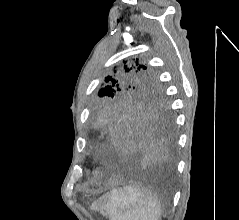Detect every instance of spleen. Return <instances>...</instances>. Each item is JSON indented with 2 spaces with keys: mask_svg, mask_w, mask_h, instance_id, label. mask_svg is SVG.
<instances>
[{
  "mask_svg": "<svg viewBox=\"0 0 239 220\" xmlns=\"http://www.w3.org/2000/svg\"><path fill=\"white\" fill-rule=\"evenodd\" d=\"M95 209L110 220H161L157 196L134 186L112 189L99 199Z\"/></svg>",
  "mask_w": 239,
  "mask_h": 220,
  "instance_id": "1",
  "label": "spleen"
}]
</instances>
